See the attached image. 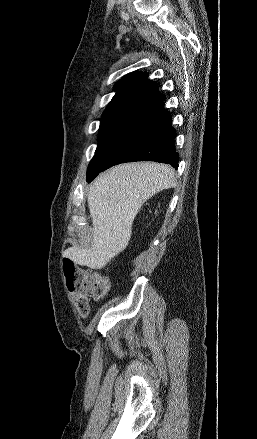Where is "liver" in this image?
Here are the masks:
<instances>
[{"label": "liver", "instance_id": "liver-1", "mask_svg": "<svg viewBox=\"0 0 257 439\" xmlns=\"http://www.w3.org/2000/svg\"><path fill=\"white\" fill-rule=\"evenodd\" d=\"M175 184L174 170L164 164L126 163L109 169L94 180L88 193L91 245L73 246L63 255L91 269L105 267L128 245L134 218L142 205Z\"/></svg>", "mask_w": 257, "mask_h": 439}]
</instances>
